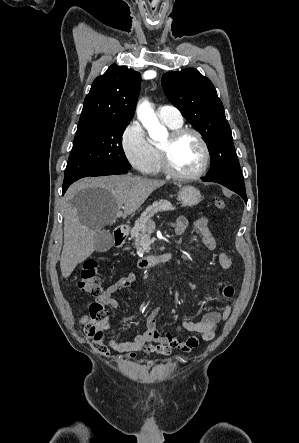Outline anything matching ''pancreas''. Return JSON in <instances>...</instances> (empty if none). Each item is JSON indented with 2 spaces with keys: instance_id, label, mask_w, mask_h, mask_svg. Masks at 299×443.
<instances>
[{
  "instance_id": "cf45deb5",
  "label": "pancreas",
  "mask_w": 299,
  "mask_h": 443,
  "mask_svg": "<svg viewBox=\"0 0 299 443\" xmlns=\"http://www.w3.org/2000/svg\"><path fill=\"white\" fill-rule=\"evenodd\" d=\"M174 209L175 207H173L172 204L167 200L155 201L152 205L146 208L131 230V238L135 239V246L138 252L144 253L148 250L146 246L147 239L145 232L154 214L160 211H171Z\"/></svg>"
}]
</instances>
